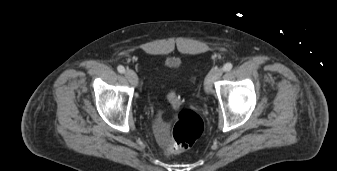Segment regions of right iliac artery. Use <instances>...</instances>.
Segmentation results:
<instances>
[{
    "instance_id": "obj_1",
    "label": "right iliac artery",
    "mask_w": 337,
    "mask_h": 171,
    "mask_svg": "<svg viewBox=\"0 0 337 171\" xmlns=\"http://www.w3.org/2000/svg\"><path fill=\"white\" fill-rule=\"evenodd\" d=\"M117 70H118L119 73H124L125 72V68L122 65H119L117 67Z\"/></svg>"
}]
</instances>
